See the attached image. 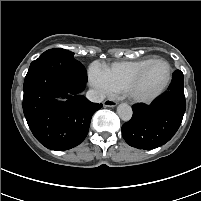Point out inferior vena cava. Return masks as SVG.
I'll return each instance as SVG.
<instances>
[{
	"label": "inferior vena cava",
	"mask_w": 201,
	"mask_h": 201,
	"mask_svg": "<svg viewBox=\"0 0 201 201\" xmlns=\"http://www.w3.org/2000/svg\"><path fill=\"white\" fill-rule=\"evenodd\" d=\"M86 97L91 102L101 103L105 99V94L102 91L90 89L87 91Z\"/></svg>",
	"instance_id": "inferior-vena-cava-1"
}]
</instances>
